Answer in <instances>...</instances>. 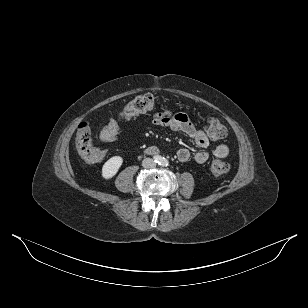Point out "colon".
<instances>
[{"label":"colon","instance_id":"1","mask_svg":"<svg viewBox=\"0 0 308 308\" xmlns=\"http://www.w3.org/2000/svg\"><path fill=\"white\" fill-rule=\"evenodd\" d=\"M157 105V99L152 94H143L131 100L122 113V119H129L140 114L149 112ZM119 121L110 119L100 130L103 141L115 140L120 137ZM205 132L212 140H220L227 136V128L216 118H209L205 125ZM75 145L80 157L89 164L97 163L101 160L102 151L95 145L91 132L90 123L82 121L77 128ZM229 164L221 158H216L211 162L210 172L214 176H221L229 171Z\"/></svg>","mask_w":308,"mask_h":308}]
</instances>
